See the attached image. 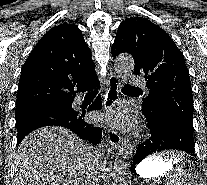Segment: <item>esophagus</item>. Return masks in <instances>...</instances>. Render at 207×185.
Returning <instances> with one entry per match:
<instances>
[{
  "label": "esophagus",
  "mask_w": 207,
  "mask_h": 185,
  "mask_svg": "<svg viewBox=\"0 0 207 185\" xmlns=\"http://www.w3.org/2000/svg\"><path fill=\"white\" fill-rule=\"evenodd\" d=\"M119 85L120 78L116 73H111L107 81V90L104 97V108L106 110L105 118L108 120L110 128L108 130V141L113 149H117L120 142L121 136L120 131H116L114 126V115L117 119L121 118V115L118 114L117 110H114L116 102L119 98ZM118 128L122 127L121 123L117 124ZM127 166V165H123Z\"/></svg>",
  "instance_id": "esophagus-1"
}]
</instances>
